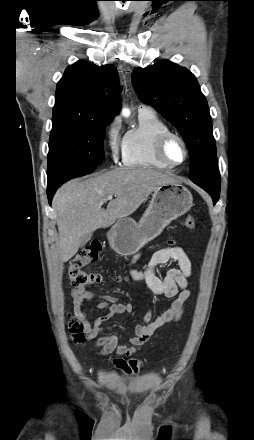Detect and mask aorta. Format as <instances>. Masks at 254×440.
Returning <instances> with one entry per match:
<instances>
[{"label": "aorta", "instance_id": "aorta-1", "mask_svg": "<svg viewBox=\"0 0 254 440\" xmlns=\"http://www.w3.org/2000/svg\"><path fill=\"white\" fill-rule=\"evenodd\" d=\"M123 113H124L125 115H128V114H129V111H128V110H124Z\"/></svg>", "mask_w": 254, "mask_h": 440}]
</instances>
